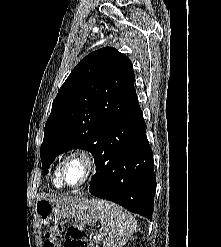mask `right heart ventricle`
<instances>
[{"label":"right heart ventricle","instance_id":"1","mask_svg":"<svg viewBox=\"0 0 221 247\" xmlns=\"http://www.w3.org/2000/svg\"><path fill=\"white\" fill-rule=\"evenodd\" d=\"M53 183L57 188H61L62 187V182L59 178V166L56 167V172H55V176L53 178Z\"/></svg>","mask_w":221,"mask_h":247}]
</instances>
